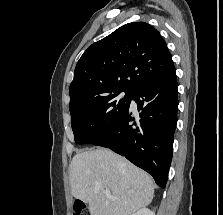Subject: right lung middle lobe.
Here are the masks:
<instances>
[{"instance_id": "obj_1", "label": "right lung middle lobe", "mask_w": 223, "mask_h": 215, "mask_svg": "<svg viewBox=\"0 0 223 215\" xmlns=\"http://www.w3.org/2000/svg\"><path fill=\"white\" fill-rule=\"evenodd\" d=\"M124 98H117L122 92ZM132 92L119 90L70 110L72 130L77 144H92L107 134L122 118L132 99Z\"/></svg>"}]
</instances>
